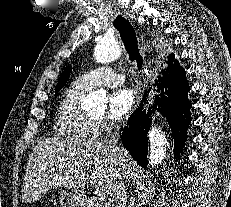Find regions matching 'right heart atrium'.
Returning <instances> with one entry per match:
<instances>
[{
	"label": "right heart atrium",
	"mask_w": 231,
	"mask_h": 207,
	"mask_svg": "<svg viewBox=\"0 0 231 207\" xmlns=\"http://www.w3.org/2000/svg\"><path fill=\"white\" fill-rule=\"evenodd\" d=\"M111 127H112V125H110V124L99 123L98 124V131H99V128L104 130V129H110Z\"/></svg>",
	"instance_id": "obj_1"
}]
</instances>
